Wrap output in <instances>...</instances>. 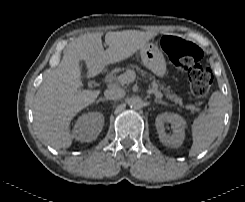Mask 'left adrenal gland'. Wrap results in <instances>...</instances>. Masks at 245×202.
<instances>
[{"label": "left adrenal gland", "mask_w": 245, "mask_h": 202, "mask_svg": "<svg viewBox=\"0 0 245 202\" xmlns=\"http://www.w3.org/2000/svg\"><path fill=\"white\" fill-rule=\"evenodd\" d=\"M154 102H155V103H158V104L166 105L165 102H163L162 100H159V99H155Z\"/></svg>", "instance_id": "left-adrenal-gland-1"}]
</instances>
